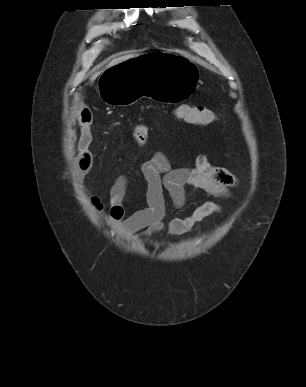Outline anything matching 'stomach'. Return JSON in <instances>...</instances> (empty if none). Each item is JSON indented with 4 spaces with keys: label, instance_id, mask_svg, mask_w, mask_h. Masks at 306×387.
I'll use <instances>...</instances> for the list:
<instances>
[{
    "label": "stomach",
    "instance_id": "0dacf381",
    "mask_svg": "<svg viewBox=\"0 0 306 387\" xmlns=\"http://www.w3.org/2000/svg\"><path fill=\"white\" fill-rule=\"evenodd\" d=\"M144 55L101 70L100 96L111 106H129L141 95L159 104H184L199 82V69L187 56L148 46Z\"/></svg>",
    "mask_w": 306,
    "mask_h": 387
}]
</instances>
